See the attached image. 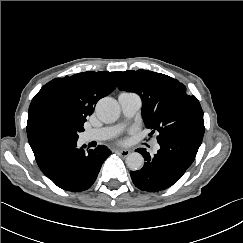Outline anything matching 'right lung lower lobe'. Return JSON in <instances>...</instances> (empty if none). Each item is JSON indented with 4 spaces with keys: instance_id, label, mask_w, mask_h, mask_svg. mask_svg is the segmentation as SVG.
<instances>
[{
    "instance_id": "obj_1",
    "label": "right lung lower lobe",
    "mask_w": 243,
    "mask_h": 243,
    "mask_svg": "<svg viewBox=\"0 0 243 243\" xmlns=\"http://www.w3.org/2000/svg\"><path fill=\"white\" fill-rule=\"evenodd\" d=\"M27 136L41 171L59 188L71 192L90 188L110 155L103 145L85 153L77 147V139L53 128H34Z\"/></svg>"
}]
</instances>
